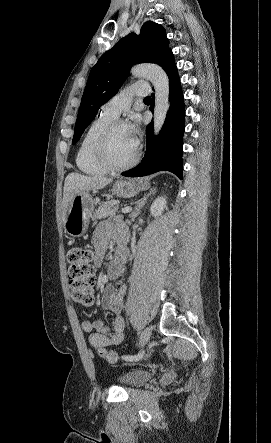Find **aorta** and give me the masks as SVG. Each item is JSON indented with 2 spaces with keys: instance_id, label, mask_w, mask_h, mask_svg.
I'll return each mask as SVG.
<instances>
[{
  "instance_id": "762f6f07",
  "label": "aorta",
  "mask_w": 271,
  "mask_h": 443,
  "mask_svg": "<svg viewBox=\"0 0 271 443\" xmlns=\"http://www.w3.org/2000/svg\"><path fill=\"white\" fill-rule=\"evenodd\" d=\"M131 76L134 78H147L155 90L154 108V134H159L170 108L169 104V78L156 64H138L133 66Z\"/></svg>"
}]
</instances>
